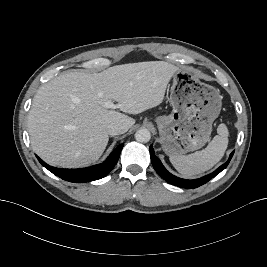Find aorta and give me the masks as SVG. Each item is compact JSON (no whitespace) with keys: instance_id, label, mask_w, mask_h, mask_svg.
<instances>
[{"instance_id":"762f6f07","label":"aorta","mask_w":267,"mask_h":267,"mask_svg":"<svg viewBox=\"0 0 267 267\" xmlns=\"http://www.w3.org/2000/svg\"><path fill=\"white\" fill-rule=\"evenodd\" d=\"M135 139L141 143H147L151 139V133L146 128H141L135 133Z\"/></svg>"}]
</instances>
